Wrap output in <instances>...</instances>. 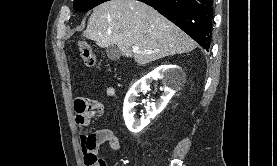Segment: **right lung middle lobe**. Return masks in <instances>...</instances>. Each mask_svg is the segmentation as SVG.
Segmentation results:
<instances>
[{
    "mask_svg": "<svg viewBox=\"0 0 277 166\" xmlns=\"http://www.w3.org/2000/svg\"><path fill=\"white\" fill-rule=\"evenodd\" d=\"M106 1L109 0H75L74 9L78 12L88 11Z\"/></svg>",
    "mask_w": 277,
    "mask_h": 166,
    "instance_id": "obj_1",
    "label": "right lung middle lobe"
}]
</instances>
